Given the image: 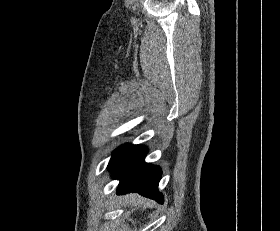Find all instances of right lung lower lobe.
I'll use <instances>...</instances> for the list:
<instances>
[{"label":"right lung lower lobe","instance_id":"1","mask_svg":"<svg viewBox=\"0 0 280 231\" xmlns=\"http://www.w3.org/2000/svg\"><path fill=\"white\" fill-rule=\"evenodd\" d=\"M147 152L142 145H123L114 151L108 170L112 178L120 180L117 194L138 192L162 204L163 195L158 191L162 171L158 166L145 163Z\"/></svg>","mask_w":280,"mask_h":231}]
</instances>
